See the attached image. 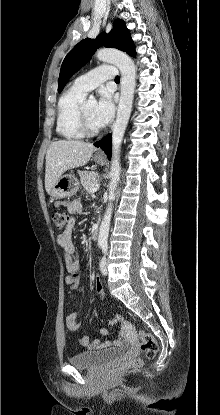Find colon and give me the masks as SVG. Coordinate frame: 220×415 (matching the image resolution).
<instances>
[{"label": "colon", "mask_w": 220, "mask_h": 415, "mask_svg": "<svg viewBox=\"0 0 220 415\" xmlns=\"http://www.w3.org/2000/svg\"><path fill=\"white\" fill-rule=\"evenodd\" d=\"M59 205L65 206L61 202L59 203ZM52 220L55 229L59 232H62L68 224L69 217L65 212H55L52 215ZM74 277H78V274L74 275ZM98 294L102 299H105L104 294ZM139 339L141 350L145 354V356L148 358L154 357L158 351V345L155 338L150 333L141 330L139 332ZM141 365L142 360L140 358H129L119 363L117 366V370H134L140 368Z\"/></svg>", "instance_id": "colon-1"}]
</instances>
